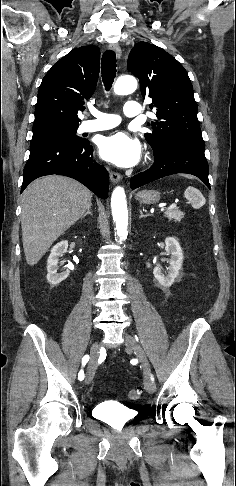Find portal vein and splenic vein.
Segmentation results:
<instances>
[{
    "instance_id": "18ae733b",
    "label": "portal vein and splenic vein",
    "mask_w": 236,
    "mask_h": 486,
    "mask_svg": "<svg viewBox=\"0 0 236 486\" xmlns=\"http://www.w3.org/2000/svg\"><path fill=\"white\" fill-rule=\"evenodd\" d=\"M174 209H176V204H172V205H170L169 207L166 208L167 211H172ZM161 211H164V209H161Z\"/></svg>"
}]
</instances>
